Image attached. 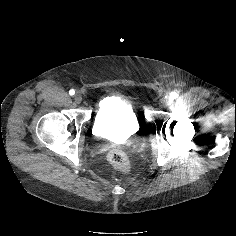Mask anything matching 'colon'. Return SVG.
Listing matches in <instances>:
<instances>
[{
  "label": "colon",
  "instance_id": "obj_1",
  "mask_svg": "<svg viewBox=\"0 0 236 236\" xmlns=\"http://www.w3.org/2000/svg\"><path fill=\"white\" fill-rule=\"evenodd\" d=\"M109 162L120 172L128 173L130 170V162L126 153L118 148L112 149L108 153Z\"/></svg>",
  "mask_w": 236,
  "mask_h": 236
}]
</instances>
